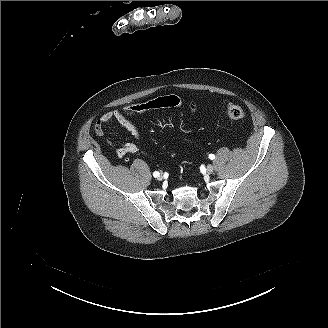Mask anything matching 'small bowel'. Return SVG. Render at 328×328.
Masks as SVG:
<instances>
[{"instance_id":"c3829d8e","label":"small bowel","mask_w":328,"mask_h":328,"mask_svg":"<svg viewBox=\"0 0 328 328\" xmlns=\"http://www.w3.org/2000/svg\"><path fill=\"white\" fill-rule=\"evenodd\" d=\"M189 109L191 112L196 111V105L194 102H191L189 105ZM111 120H117L120 124H122L129 132H131L137 139H141V132L139 128L133 123L123 112L119 110L108 111L104 113L98 124H106ZM138 151V147L136 144L128 142L123 144L119 149H117V156L119 158H123L128 154L135 153Z\"/></svg>"}]
</instances>
